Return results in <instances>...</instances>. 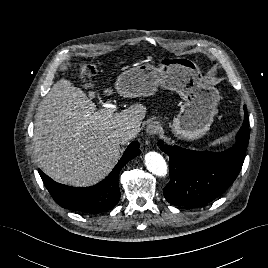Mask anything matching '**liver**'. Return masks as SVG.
Masks as SVG:
<instances>
[{"instance_id":"liver-1","label":"liver","mask_w":268,"mask_h":268,"mask_svg":"<svg viewBox=\"0 0 268 268\" xmlns=\"http://www.w3.org/2000/svg\"><path fill=\"white\" fill-rule=\"evenodd\" d=\"M96 113L95 103L67 79L56 82L40 102L33 155L56 182L86 187L104 179L118 160L120 144L129 141H114L111 132H139L146 108L136 103L106 119Z\"/></svg>"}]
</instances>
